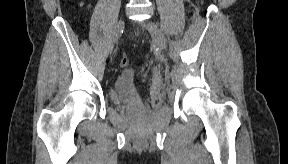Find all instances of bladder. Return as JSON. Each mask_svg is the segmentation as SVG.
Masks as SVG:
<instances>
[{"mask_svg":"<svg viewBox=\"0 0 288 164\" xmlns=\"http://www.w3.org/2000/svg\"><path fill=\"white\" fill-rule=\"evenodd\" d=\"M110 98L114 104L119 106L132 107L142 103L132 71L123 70L116 76L110 91Z\"/></svg>","mask_w":288,"mask_h":164,"instance_id":"31cf9c89","label":"bladder"}]
</instances>
